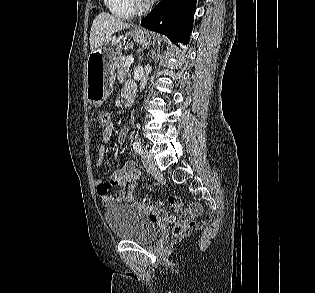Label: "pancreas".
<instances>
[{
	"label": "pancreas",
	"instance_id": "obj_1",
	"mask_svg": "<svg viewBox=\"0 0 315 293\" xmlns=\"http://www.w3.org/2000/svg\"><path fill=\"white\" fill-rule=\"evenodd\" d=\"M126 57H120L118 60V67H117V80L119 83H123L125 77L128 75V67H125Z\"/></svg>",
	"mask_w": 315,
	"mask_h": 293
}]
</instances>
